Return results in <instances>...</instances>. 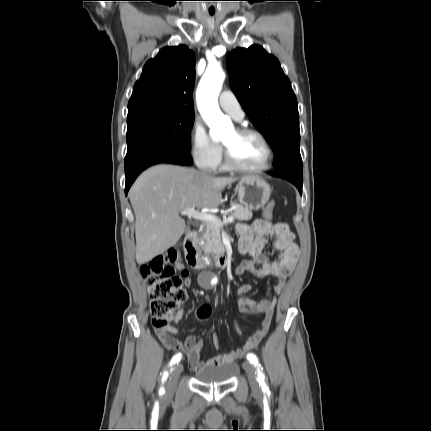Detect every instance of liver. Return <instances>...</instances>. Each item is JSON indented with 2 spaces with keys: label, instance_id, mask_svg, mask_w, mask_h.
<instances>
[{
  "label": "liver",
  "instance_id": "obj_1",
  "mask_svg": "<svg viewBox=\"0 0 431 431\" xmlns=\"http://www.w3.org/2000/svg\"><path fill=\"white\" fill-rule=\"evenodd\" d=\"M237 180L166 164L144 171L129 192L135 214L137 263L152 260L179 241L186 227L179 215L183 210L217 208L222 189Z\"/></svg>",
  "mask_w": 431,
  "mask_h": 431
}]
</instances>
